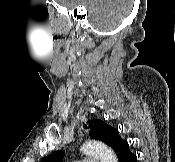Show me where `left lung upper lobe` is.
I'll use <instances>...</instances> for the list:
<instances>
[{
    "instance_id": "left-lung-upper-lobe-1",
    "label": "left lung upper lobe",
    "mask_w": 175,
    "mask_h": 162,
    "mask_svg": "<svg viewBox=\"0 0 175 162\" xmlns=\"http://www.w3.org/2000/svg\"><path fill=\"white\" fill-rule=\"evenodd\" d=\"M89 127L91 129L90 136L92 139H96L104 142L111 148L120 139L118 130L104 123L102 120H91L89 121ZM84 128H87L86 125ZM65 155L64 150L56 151L46 156L41 162H61Z\"/></svg>"
}]
</instances>
